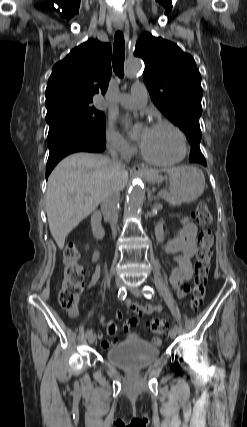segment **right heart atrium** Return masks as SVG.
<instances>
[{
  "label": "right heart atrium",
  "mask_w": 247,
  "mask_h": 427,
  "mask_svg": "<svg viewBox=\"0 0 247 427\" xmlns=\"http://www.w3.org/2000/svg\"><path fill=\"white\" fill-rule=\"evenodd\" d=\"M105 142L108 149L122 157L131 156L135 148L134 146L120 133V131L109 123L105 129Z\"/></svg>",
  "instance_id": "obj_1"
}]
</instances>
